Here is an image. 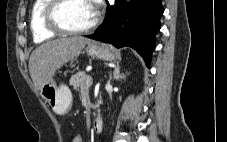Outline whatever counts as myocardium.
Returning a JSON list of instances; mask_svg holds the SVG:
<instances>
[{"label":"myocardium","instance_id":"f54148a6","mask_svg":"<svg viewBox=\"0 0 227 142\" xmlns=\"http://www.w3.org/2000/svg\"><path fill=\"white\" fill-rule=\"evenodd\" d=\"M68 2V0H50L44 11V21L45 25L51 31L58 34H82L93 29L98 23V17L95 18L88 25L81 28H69L65 26L60 18L61 10L63 6Z\"/></svg>","mask_w":227,"mask_h":142}]
</instances>
